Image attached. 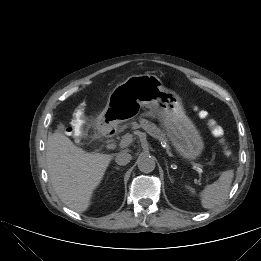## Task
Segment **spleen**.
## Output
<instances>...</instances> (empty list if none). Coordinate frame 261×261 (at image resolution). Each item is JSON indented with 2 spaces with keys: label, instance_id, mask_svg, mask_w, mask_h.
Segmentation results:
<instances>
[{
  "label": "spleen",
  "instance_id": "1",
  "mask_svg": "<svg viewBox=\"0 0 261 261\" xmlns=\"http://www.w3.org/2000/svg\"><path fill=\"white\" fill-rule=\"evenodd\" d=\"M233 170L224 171L219 179L211 185H207L201 192V204L205 209H213L227 198L233 180ZM195 194L194 189H190Z\"/></svg>",
  "mask_w": 261,
  "mask_h": 261
}]
</instances>
